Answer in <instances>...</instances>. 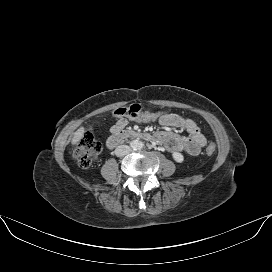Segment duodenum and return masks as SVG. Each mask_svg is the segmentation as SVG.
Returning <instances> with one entry per match:
<instances>
[{"instance_id":"1","label":"duodenum","mask_w":272,"mask_h":272,"mask_svg":"<svg viewBox=\"0 0 272 272\" xmlns=\"http://www.w3.org/2000/svg\"><path fill=\"white\" fill-rule=\"evenodd\" d=\"M141 139L150 141L153 136L146 132L120 129L114 132L107 140V147L112 149L125 140Z\"/></svg>"}]
</instances>
